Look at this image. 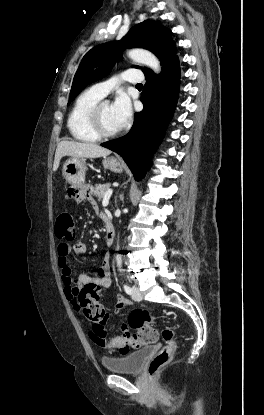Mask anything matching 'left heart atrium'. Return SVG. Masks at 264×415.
I'll return each instance as SVG.
<instances>
[{"instance_id": "obj_1", "label": "left heart atrium", "mask_w": 264, "mask_h": 415, "mask_svg": "<svg viewBox=\"0 0 264 415\" xmlns=\"http://www.w3.org/2000/svg\"><path fill=\"white\" fill-rule=\"evenodd\" d=\"M113 115L119 128L124 127L131 119V102L125 93H119L111 106Z\"/></svg>"}]
</instances>
